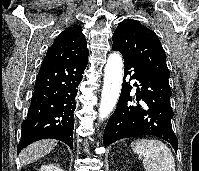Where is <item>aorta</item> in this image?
I'll return each instance as SVG.
<instances>
[{
    "mask_svg": "<svg viewBox=\"0 0 199 171\" xmlns=\"http://www.w3.org/2000/svg\"><path fill=\"white\" fill-rule=\"evenodd\" d=\"M122 58L118 53L109 55L104 72V84L99 106L100 121L108 117L119 98L122 85Z\"/></svg>",
    "mask_w": 199,
    "mask_h": 171,
    "instance_id": "762f6f07",
    "label": "aorta"
}]
</instances>
